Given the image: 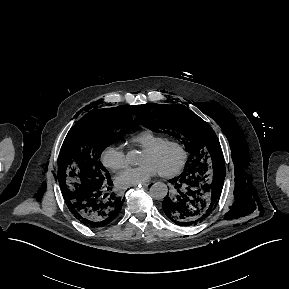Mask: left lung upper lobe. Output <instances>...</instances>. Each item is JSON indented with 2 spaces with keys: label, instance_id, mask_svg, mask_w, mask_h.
Returning <instances> with one entry per match:
<instances>
[{
  "label": "left lung upper lobe",
  "instance_id": "1",
  "mask_svg": "<svg viewBox=\"0 0 289 289\" xmlns=\"http://www.w3.org/2000/svg\"><path fill=\"white\" fill-rule=\"evenodd\" d=\"M139 124L152 131L170 134L187 147L190 162L186 171L202 168L210 172L224 165L222 150L213 129L184 105L148 103L139 106Z\"/></svg>",
  "mask_w": 289,
  "mask_h": 289
}]
</instances>
